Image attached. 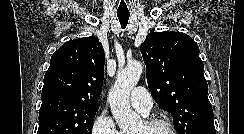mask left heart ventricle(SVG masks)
I'll list each match as a JSON object with an SVG mask.
<instances>
[{"label":"left heart ventricle","mask_w":244,"mask_h":134,"mask_svg":"<svg viewBox=\"0 0 244 134\" xmlns=\"http://www.w3.org/2000/svg\"><path fill=\"white\" fill-rule=\"evenodd\" d=\"M133 134H171L169 129L165 126L158 125L147 128L143 122L137 127Z\"/></svg>","instance_id":"obj_1"}]
</instances>
